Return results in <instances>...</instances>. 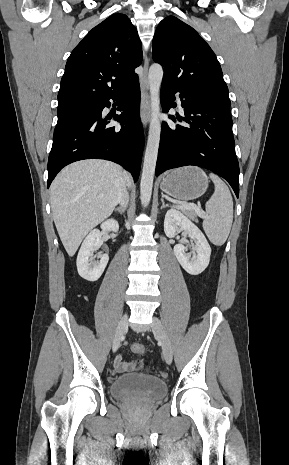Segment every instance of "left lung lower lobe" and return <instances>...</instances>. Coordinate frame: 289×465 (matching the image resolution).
Here are the masks:
<instances>
[{"instance_id": "obj_1", "label": "left lung lower lobe", "mask_w": 289, "mask_h": 465, "mask_svg": "<svg viewBox=\"0 0 289 465\" xmlns=\"http://www.w3.org/2000/svg\"><path fill=\"white\" fill-rule=\"evenodd\" d=\"M177 92H180L184 108L183 120L189 126L162 123L156 175L181 166L203 167L226 179L239 197V164L234 149L230 106L162 84L163 112L174 107ZM169 117L175 121L173 115Z\"/></svg>"}]
</instances>
